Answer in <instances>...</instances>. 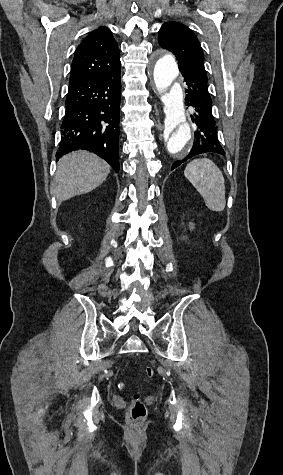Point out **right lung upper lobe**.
<instances>
[{
  "label": "right lung upper lobe",
  "instance_id": "obj_1",
  "mask_svg": "<svg viewBox=\"0 0 283 475\" xmlns=\"http://www.w3.org/2000/svg\"><path fill=\"white\" fill-rule=\"evenodd\" d=\"M119 48L107 27L92 31L80 43L72 61L70 80L99 78L120 71Z\"/></svg>",
  "mask_w": 283,
  "mask_h": 475
}]
</instances>
